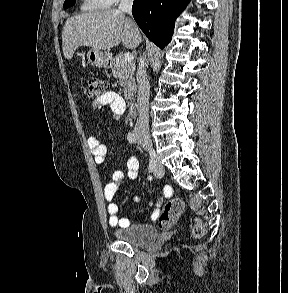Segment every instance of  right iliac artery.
Listing matches in <instances>:
<instances>
[{
  "label": "right iliac artery",
  "instance_id": "82829eb1",
  "mask_svg": "<svg viewBox=\"0 0 288 293\" xmlns=\"http://www.w3.org/2000/svg\"><path fill=\"white\" fill-rule=\"evenodd\" d=\"M127 139H128V141L130 143H136V141H137V137H136L135 133H133V132H129L128 133ZM149 151L150 152H153L154 151V148L153 147H150L149 148ZM150 160H151L152 165H151V163L149 164V170L150 171L151 170H156L157 167L159 166V164L161 163V160L158 159L157 156H151L150 157Z\"/></svg>",
  "mask_w": 288,
  "mask_h": 293
}]
</instances>
